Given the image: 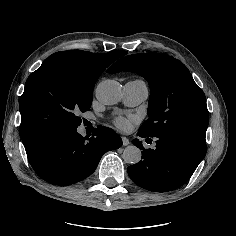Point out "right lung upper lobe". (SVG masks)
Masks as SVG:
<instances>
[{
	"label": "right lung upper lobe",
	"mask_w": 236,
	"mask_h": 236,
	"mask_svg": "<svg viewBox=\"0 0 236 236\" xmlns=\"http://www.w3.org/2000/svg\"><path fill=\"white\" fill-rule=\"evenodd\" d=\"M125 54H127L125 51H112L99 55L81 50L62 51L52 54L41 66L63 63L86 75L99 77L110 64Z\"/></svg>",
	"instance_id": "cb5924a9"
}]
</instances>
